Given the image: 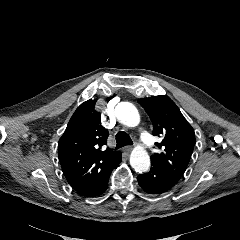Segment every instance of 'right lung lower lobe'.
Listing matches in <instances>:
<instances>
[{
  "label": "right lung lower lobe",
  "mask_w": 240,
  "mask_h": 240,
  "mask_svg": "<svg viewBox=\"0 0 240 240\" xmlns=\"http://www.w3.org/2000/svg\"><path fill=\"white\" fill-rule=\"evenodd\" d=\"M109 176H107L105 180L102 181L101 184L87 197H97V196H100L102 193H104L108 187Z\"/></svg>",
  "instance_id": "1"
}]
</instances>
